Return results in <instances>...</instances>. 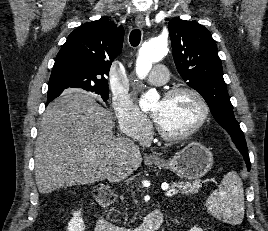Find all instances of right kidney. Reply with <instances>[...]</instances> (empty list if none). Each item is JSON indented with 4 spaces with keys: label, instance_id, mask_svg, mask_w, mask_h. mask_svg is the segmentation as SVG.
Segmentation results:
<instances>
[{
    "label": "right kidney",
    "instance_id": "ca27d5eb",
    "mask_svg": "<svg viewBox=\"0 0 268 231\" xmlns=\"http://www.w3.org/2000/svg\"><path fill=\"white\" fill-rule=\"evenodd\" d=\"M85 225L81 217V211H75L73 217L68 223L67 231H84Z\"/></svg>",
    "mask_w": 268,
    "mask_h": 231
}]
</instances>
